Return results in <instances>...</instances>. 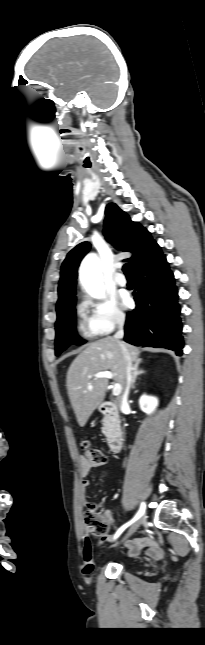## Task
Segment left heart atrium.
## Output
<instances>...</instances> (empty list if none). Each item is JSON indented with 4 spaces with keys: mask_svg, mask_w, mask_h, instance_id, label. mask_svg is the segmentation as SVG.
<instances>
[{
    "mask_svg": "<svg viewBox=\"0 0 205 645\" xmlns=\"http://www.w3.org/2000/svg\"><path fill=\"white\" fill-rule=\"evenodd\" d=\"M130 304H131V299H130L128 296H125V297L123 298V305H124L125 307H129V306H130Z\"/></svg>",
    "mask_w": 205,
    "mask_h": 645,
    "instance_id": "obj_1",
    "label": "left heart atrium"
}]
</instances>
